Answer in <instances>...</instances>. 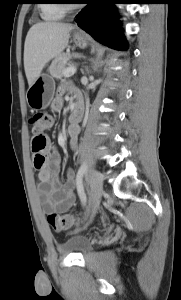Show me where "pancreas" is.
Returning <instances> with one entry per match:
<instances>
[{
  "label": "pancreas",
  "mask_w": 181,
  "mask_h": 300,
  "mask_svg": "<svg viewBox=\"0 0 181 300\" xmlns=\"http://www.w3.org/2000/svg\"><path fill=\"white\" fill-rule=\"evenodd\" d=\"M72 56L78 57L79 55L77 53H63L62 55L55 58L51 66L49 67L51 76L56 79H61L64 76L67 65H69L67 62Z\"/></svg>",
  "instance_id": "obj_1"
}]
</instances>
